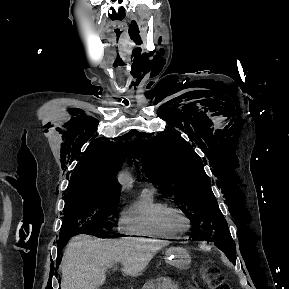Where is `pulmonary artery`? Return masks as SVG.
I'll return each mask as SVG.
<instances>
[{
    "label": "pulmonary artery",
    "instance_id": "1",
    "mask_svg": "<svg viewBox=\"0 0 289 289\" xmlns=\"http://www.w3.org/2000/svg\"><path fill=\"white\" fill-rule=\"evenodd\" d=\"M144 189H154L155 190V188H154V186L153 185H147V186H145V188Z\"/></svg>",
    "mask_w": 289,
    "mask_h": 289
}]
</instances>
